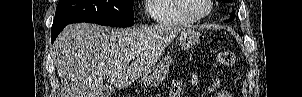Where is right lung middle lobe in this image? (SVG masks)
I'll use <instances>...</instances> for the list:
<instances>
[{
    "instance_id": "dd1d6c3e",
    "label": "right lung middle lobe",
    "mask_w": 302,
    "mask_h": 97,
    "mask_svg": "<svg viewBox=\"0 0 302 97\" xmlns=\"http://www.w3.org/2000/svg\"><path fill=\"white\" fill-rule=\"evenodd\" d=\"M133 0H60L52 29L89 22L112 27L134 25Z\"/></svg>"
}]
</instances>
